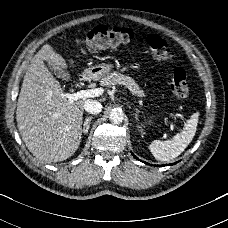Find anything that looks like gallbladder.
Masks as SVG:
<instances>
[{
    "label": "gallbladder",
    "instance_id": "obj_1",
    "mask_svg": "<svg viewBox=\"0 0 228 228\" xmlns=\"http://www.w3.org/2000/svg\"><path fill=\"white\" fill-rule=\"evenodd\" d=\"M48 66L56 77L61 78L65 81L71 80L70 73L65 68H62L60 65H54L51 62H48Z\"/></svg>",
    "mask_w": 228,
    "mask_h": 228
}]
</instances>
